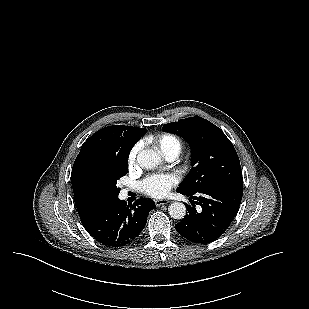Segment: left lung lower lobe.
<instances>
[{
	"label": "left lung lower lobe",
	"mask_w": 309,
	"mask_h": 309,
	"mask_svg": "<svg viewBox=\"0 0 309 309\" xmlns=\"http://www.w3.org/2000/svg\"><path fill=\"white\" fill-rule=\"evenodd\" d=\"M181 194L197 199L202 207L199 213L187 206L188 213L175 225L185 239L198 244H206L219 238L230 226L238 212L243 196V185H223L196 193Z\"/></svg>",
	"instance_id": "obj_1"
}]
</instances>
